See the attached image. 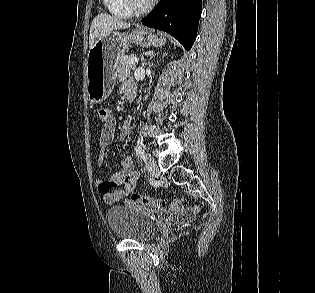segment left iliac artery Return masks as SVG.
<instances>
[{
	"instance_id": "obj_1",
	"label": "left iliac artery",
	"mask_w": 315,
	"mask_h": 293,
	"mask_svg": "<svg viewBox=\"0 0 315 293\" xmlns=\"http://www.w3.org/2000/svg\"><path fill=\"white\" fill-rule=\"evenodd\" d=\"M135 151H136V154H137L141 159H143V160L146 159L145 151H144V149H143L141 146L137 145V146L135 147Z\"/></svg>"
}]
</instances>
